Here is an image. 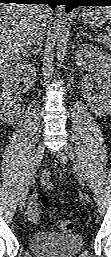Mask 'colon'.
I'll return each instance as SVG.
<instances>
[{
	"label": "colon",
	"instance_id": "colon-1",
	"mask_svg": "<svg viewBox=\"0 0 111 257\" xmlns=\"http://www.w3.org/2000/svg\"><path fill=\"white\" fill-rule=\"evenodd\" d=\"M40 204L45 209L49 208V198L47 195L43 194L40 196ZM57 225L64 232H72L75 227L74 223L70 220H58Z\"/></svg>",
	"mask_w": 111,
	"mask_h": 257
}]
</instances>
